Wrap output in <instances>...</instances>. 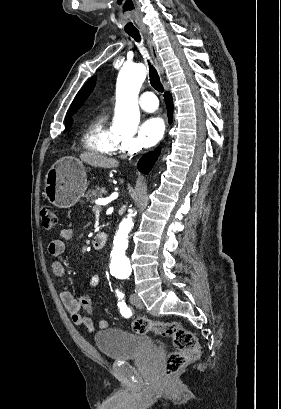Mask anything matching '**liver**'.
<instances>
[{
	"mask_svg": "<svg viewBox=\"0 0 281 409\" xmlns=\"http://www.w3.org/2000/svg\"><path fill=\"white\" fill-rule=\"evenodd\" d=\"M81 160L88 162L91 166H102V168H113V166H118L119 160L117 158H110V156H103L99 152H94V150H86L80 154Z\"/></svg>",
	"mask_w": 281,
	"mask_h": 409,
	"instance_id": "liver-1",
	"label": "liver"
}]
</instances>
